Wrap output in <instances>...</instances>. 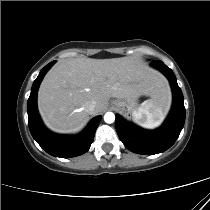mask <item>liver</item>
<instances>
[{
	"label": "liver",
	"mask_w": 210,
	"mask_h": 210,
	"mask_svg": "<svg viewBox=\"0 0 210 210\" xmlns=\"http://www.w3.org/2000/svg\"><path fill=\"white\" fill-rule=\"evenodd\" d=\"M141 95L170 101L164 76L134 57L76 58L57 63L38 91V110L48 128L59 133L80 130L91 114L101 113L111 97L136 99ZM96 108L90 113L89 102Z\"/></svg>",
	"instance_id": "6515ba94"
}]
</instances>
